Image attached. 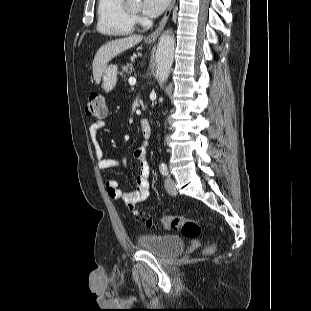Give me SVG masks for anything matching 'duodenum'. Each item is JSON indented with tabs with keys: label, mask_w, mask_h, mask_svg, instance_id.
<instances>
[{
	"label": "duodenum",
	"mask_w": 311,
	"mask_h": 311,
	"mask_svg": "<svg viewBox=\"0 0 311 311\" xmlns=\"http://www.w3.org/2000/svg\"><path fill=\"white\" fill-rule=\"evenodd\" d=\"M141 130L144 140H148L151 136L152 128L150 122L147 119H143L141 121Z\"/></svg>",
	"instance_id": "1"
}]
</instances>
